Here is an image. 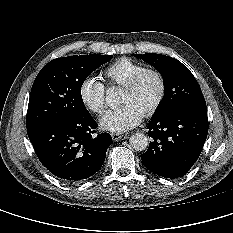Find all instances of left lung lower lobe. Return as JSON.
I'll list each match as a JSON object with an SVG mask.
<instances>
[{"instance_id":"1","label":"left lung lower lobe","mask_w":233,"mask_h":233,"mask_svg":"<svg viewBox=\"0 0 233 233\" xmlns=\"http://www.w3.org/2000/svg\"><path fill=\"white\" fill-rule=\"evenodd\" d=\"M207 110L186 108L154 118L147 126L153 138L141 155L144 166L166 177L185 175L197 161L208 133Z\"/></svg>"}]
</instances>
